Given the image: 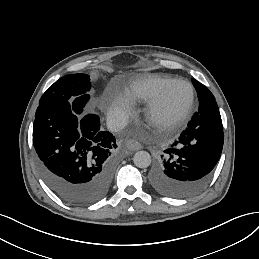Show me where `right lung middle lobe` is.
I'll list each match as a JSON object with an SVG mask.
<instances>
[{"label":"right lung middle lobe","mask_w":259,"mask_h":259,"mask_svg":"<svg viewBox=\"0 0 259 259\" xmlns=\"http://www.w3.org/2000/svg\"><path fill=\"white\" fill-rule=\"evenodd\" d=\"M90 78L87 74H69L60 78L41 97L39 104L69 101L82 112L89 100Z\"/></svg>","instance_id":"right-lung-middle-lobe-1"}]
</instances>
